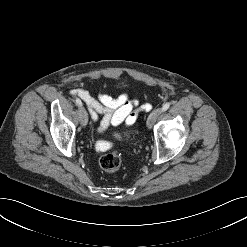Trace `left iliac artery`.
<instances>
[{"label":"left iliac artery","instance_id":"1","mask_svg":"<svg viewBox=\"0 0 247 247\" xmlns=\"http://www.w3.org/2000/svg\"><path fill=\"white\" fill-rule=\"evenodd\" d=\"M169 107H170V103L169 102L165 103L162 107V111H166Z\"/></svg>","mask_w":247,"mask_h":247}]
</instances>
